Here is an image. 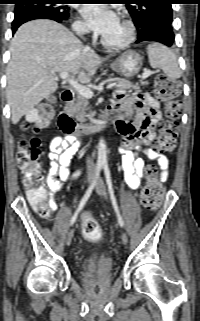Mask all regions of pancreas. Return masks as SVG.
Returning <instances> with one entry per match:
<instances>
[{
	"mask_svg": "<svg viewBox=\"0 0 200 321\" xmlns=\"http://www.w3.org/2000/svg\"><path fill=\"white\" fill-rule=\"evenodd\" d=\"M111 82H114L116 84V88L118 89H139V84H133L132 82L122 79V78H113L110 80ZM141 85H148V82H142ZM88 105H89V100L88 98L78 95L77 100L75 103L69 105L68 107V113L76 118L77 121L80 123H84L87 118V111H88Z\"/></svg>",
	"mask_w": 200,
	"mask_h": 321,
	"instance_id": "1",
	"label": "pancreas"
}]
</instances>
